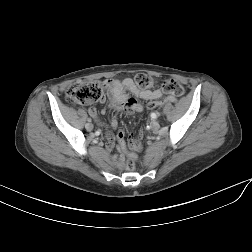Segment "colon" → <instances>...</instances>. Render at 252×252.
<instances>
[{
    "instance_id": "colon-1",
    "label": "colon",
    "mask_w": 252,
    "mask_h": 252,
    "mask_svg": "<svg viewBox=\"0 0 252 252\" xmlns=\"http://www.w3.org/2000/svg\"><path fill=\"white\" fill-rule=\"evenodd\" d=\"M134 83L138 88L148 89L154 82L153 78L146 73H138L134 77ZM161 90L173 96H181L184 92L183 86L175 79L165 80L160 85ZM67 97L71 102L85 103L89 101L102 100L104 97L102 86L99 82H80L69 88ZM160 105L159 102H150L147 107L153 109ZM142 136L139 133H132L130 137V144L134 149L141 147L140 139ZM126 169L131 171L134 168V160L132 155H128L125 163Z\"/></svg>"
}]
</instances>
